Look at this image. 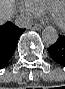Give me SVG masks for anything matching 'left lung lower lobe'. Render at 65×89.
Segmentation results:
<instances>
[{"mask_svg": "<svg viewBox=\"0 0 65 89\" xmlns=\"http://www.w3.org/2000/svg\"><path fill=\"white\" fill-rule=\"evenodd\" d=\"M48 52L55 62L65 67V34L59 35L57 42L48 48Z\"/></svg>", "mask_w": 65, "mask_h": 89, "instance_id": "left-lung-lower-lobe-1", "label": "left lung lower lobe"}]
</instances>
